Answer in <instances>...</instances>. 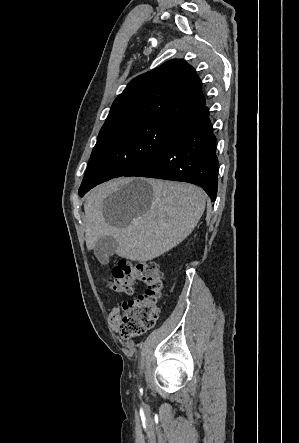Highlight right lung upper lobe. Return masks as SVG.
<instances>
[{
	"mask_svg": "<svg viewBox=\"0 0 299 443\" xmlns=\"http://www.w3.org/2000/svg\"><path fill=\"white\" fill-rule=\"evenodd\" d=\"M201 81L184 60L173 59L134 78L114 101L99 135L137 121H181L204 105Z\"/></svg>",
	"mask_w": 299,
	"mask_h": 443,
	"instance_id": "1",
	"label": "right lung upper lobe"
}]
</instances>
